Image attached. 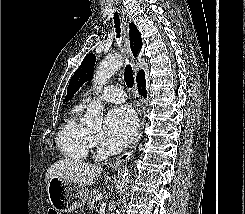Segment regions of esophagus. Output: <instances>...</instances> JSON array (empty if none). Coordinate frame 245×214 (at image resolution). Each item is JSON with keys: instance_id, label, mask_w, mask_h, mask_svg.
Listing matches in <instances>:
<instances>
[{"instance_id": "34e87169", "label": "esophagus", "mask_w": 245, "mask_h": 214, "mask_svg": "<svg viewBox=\"0 0 245 214\" xmlns=\"http://www.w3.org/2000/svg\"><path fill=\"white\" fill-rule=\"evenodd\" d=\"M122 22H123V42H124V49L125 52L127 54V56L129 57L133 70L135 71V58L131 52L130 49V41H129V26L132 22V19L130 17V15L128 14V12L122 8ZM135 103L136 105L139 107L142 105V99L139 96L137 90L135 89ZM142 128H143V117L142 114L140 112V118H139V129L137 130L136 136L134 138V141L132 143V145L122 154L120 155L117 159H116V163H121L124 161L129 160L132 155L134 154L136 147L141 139L142 136Z\"/></svg>"}]
</instances>
